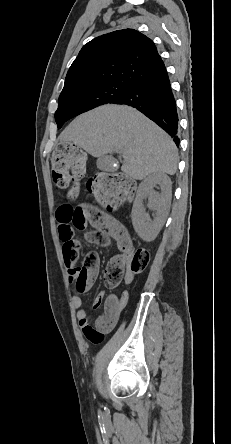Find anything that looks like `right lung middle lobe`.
<instances>
[{"mask_svg":"<svg viewBox=\"0 0 231 444\" xmlns=\"http://www.w3.org/2000/svg\"><path fill=\"white\" fill-rule=\"evenodd\" d=\"M132 88L121 83H107L93 87L61 92L59 106L55 113L58 128L69 119L97 106L114 103L124 97Z\"/></svg>","mask_w":231,"mask_h":444,"instance_id":"1","label":"right lung middle lobe"}]
</instances>
